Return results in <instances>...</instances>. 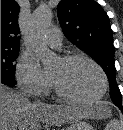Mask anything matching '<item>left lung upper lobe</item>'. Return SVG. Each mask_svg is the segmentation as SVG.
<instances>
[{
    "instance_id": "left-lung-upper-lobe-1",
    "label": "left lung upper lobe",
    "mask_w": 123,
    "mask_h": 130,
    "mask_svg": "<svg viewBox=\"0 0 123 130\" xmlns=\"http://www.w3.org/2000/svg\"><path fill=\"white\" fill-rule=\"evenodd\" d=\"M57 13L67 38L103 68L109 79L110 97L122 107L115 80L113 31L107 13L94 0H62Z\"/></svg>"
}]
</instances>
